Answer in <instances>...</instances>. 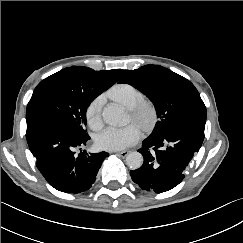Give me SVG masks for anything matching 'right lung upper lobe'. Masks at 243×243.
<instances>
[{"mask_svg": "<svg viewBox=\"0 0 243 243\" xmlns=\"http://www.w3.org/2000/svg\"><path fill=\"white\" fill-rule=\"evenodd\" d=\"M122 71V69L95 71L83 66H72L61 70L70 77V82L74 87L99 94L111 87Z\"/></svg>", "mask_w": 243, "mask_h": 243, "instance_id": "1", "label": "right lung upper lobe"}]
</instances>
